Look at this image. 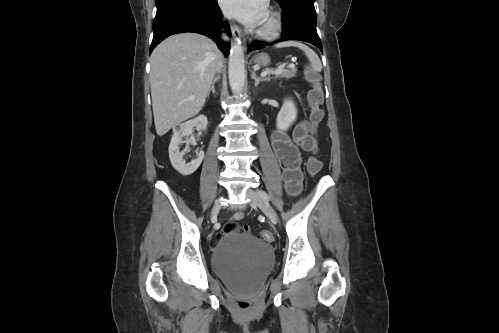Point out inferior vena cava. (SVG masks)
<instances>
[{"mask_svg":"<svg viewBox=\"0 0 499 333\" xmlns=\"http://www.w3.org/2000/svg\"><path fill=\"white\" fill-rule=\"evenodd\" d=\"M223 39H224V40H227L228 38H227V36H226V35H223ZM221 65H222V64H221V62L219 61V62H218V64H217V70H219V69H220Z\"/></svg>","mask_w":499,"mask_h":333,"instance_id":"obj_1","label":"inferior vena cava"}]
</instances>
